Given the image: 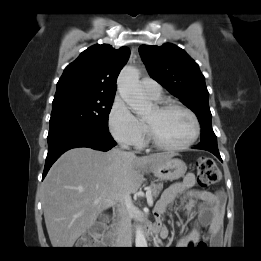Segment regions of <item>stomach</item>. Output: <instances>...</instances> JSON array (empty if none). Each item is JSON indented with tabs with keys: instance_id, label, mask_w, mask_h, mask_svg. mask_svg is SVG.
Returning a JSON list of instances; mask_svg holds the SVG:
<instances>
[{
	"instance_id": "0dacf381",
	"label": "stomach",
	"mask_w": 261,
	"mask_h": 261,
	"mask_svg": "<svg viewBox=\"0 0 261 261\" xmlns=\"http://www.w3.org/2000/svg\"><path fill=\"white\" fill-rule=\"evenodd\" d=\"M153 174L160 180H177L184 176L187 170L185 162L179 158L169 157L162 163L154 166Z\"/></svg>"
}]
</instances>
